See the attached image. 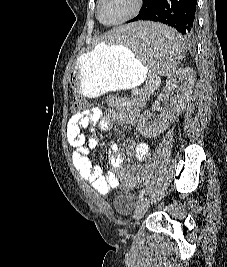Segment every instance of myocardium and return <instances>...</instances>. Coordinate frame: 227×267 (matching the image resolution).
Wrapping results in <instances>:
<instances>
[{"instance_id":"f54148a6","label":"myocardium","mask_w":227,"mask_h":267,"mask_svg":"<svg viewBox=\"0 0 227 267\" xmlns=\"http://www.w3.org/2000/svg\"><path fill=\"white\" fill-rule=\"evenodd\" d=\"M102 3H103V0H98L97 18L104 25L114 26V25L125 23V22L133 19L134 17H136L139 14V12L141 11L142 7H143L144 0H134V6H133L132 10L127 15H125L124 17H122L119 20H116V21L110 22V23L104 22L102 20V18H101V6H102Z\"/></svg>"}]
</instances>
